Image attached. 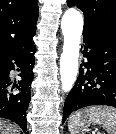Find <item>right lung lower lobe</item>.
I'll use <instances>...</instances> for the list:
<instances>
[{"label":"right lung lower lobe","mask_w":116,"mask_h":134,"mask_svg":"<svg viewBox=\"0 0 116 134\" xmlns=\"http://www.w3.org/2000/svg\"><path fill=\"white\" fill-rule=\"evenodd\" d=\"M32 40L0 58V117L17 123L24 132L27 130L26 110L30 103V87L34 77L32 68L36 46ZM15 65L21 72L18 83H13L9 77Z\"/></svg>","instance_id":"98d812e1"}]
</instances>
